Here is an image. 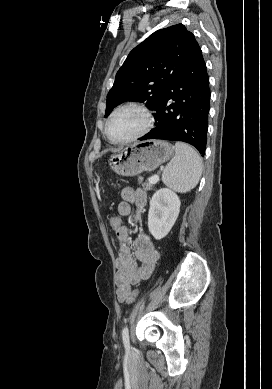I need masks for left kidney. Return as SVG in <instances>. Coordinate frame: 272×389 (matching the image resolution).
Instances as JSON below:
<instances>
[{
	"label": "left kidney",
	"mask_w": 272,
	"mask_h": 389,
	"mask_svg": "<svg viewBox=\"0 0 272 389\" xmlns=\"http://www.w3.org/2000/svg\"><path fill=\"white\" fill-rule=\"evenodd\" d=\"M178 195L168 188L157 190L148 212V228L156 240L164 238L175 224L180 212Z\"/></svg>",
	"instance_id": "obj_1"
}]
</instances>
